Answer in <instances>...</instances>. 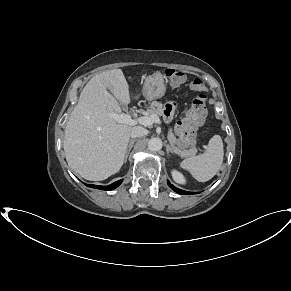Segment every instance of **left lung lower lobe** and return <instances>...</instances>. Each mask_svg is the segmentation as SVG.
<instances>
[{
	"label": "left lung lower lobe",
	"mask_w": 291,
	"mask_h": 291,
	"mask_svg": "<svg viewBox=\"0 0 291 291\" xmlns=\"http://www.w3.org/2000/svg\"><path fill=\"white\" fill-rule=\"evenodd\" d=\"M168 185L175 191V192H177V193H179V194H183V195H187V194H194V192H187V191H184V190H181V189H178V188H176L175 186H173L172 184H170L169 182H168Z\"/></svg>",
	"instance_id": "obj_1"
}]
</instances>
